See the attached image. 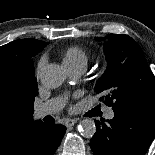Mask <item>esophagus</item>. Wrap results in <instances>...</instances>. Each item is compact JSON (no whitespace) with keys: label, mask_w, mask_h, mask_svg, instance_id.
<instances>
[{"label":"esophagus","mask_w":155,"mask_h":155,"mask_svg":"<svg viewBox=\"0 0 155 155\" xmlns=\"http://www.w3.org/2000/svg\"><path fill=\"white\" fill-rule=\"evenodd\" d=\"M76 122H77L76 119H67V120L65 121V125H66L67 127H71V126H73Z\"/></svg>","instance_id":"34e87169"}]
</instances>
